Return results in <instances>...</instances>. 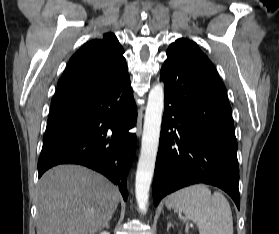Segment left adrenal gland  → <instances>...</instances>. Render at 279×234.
<instances>
[{
	"mask_svg": "<svg viewBox=\"0 0 279 234\" xmlns=\"http://www.w3.org/2000/svg\"><path fill=\"white\" fill-rule=\"evenodd\" d=\"M170 227H173V224L171 222H169L167 225V231L170 229Z\"/></svg>",
	"mask_w": 279,
	"mask_h": 234,
	"instance_id": "1",
	"label": "left adrenal gland"
}]
</instances>
